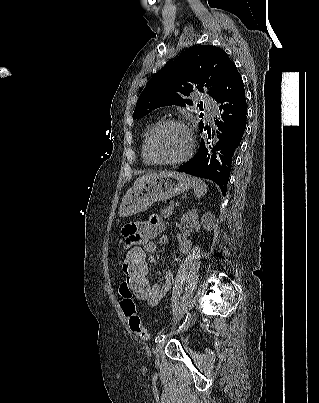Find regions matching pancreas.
Masks as SVG:
<instances>
[{"instance_id": "obj_1", "label": "pancreas", "mask_w": 319, "mask_h": 403, "mask_svg": "<svg viewBox=\"0 0 319 403\" xmlns=\"http://www.w3.org/2000/svg\"><path fill=\"white\" fill-rule=\"evenodd\" d=\"M174 205H169L166 206L162 211H161V216L164 218H170V216L173 213Z\"/></svg>"}]
</instances>
